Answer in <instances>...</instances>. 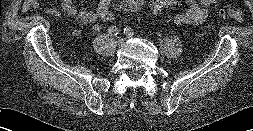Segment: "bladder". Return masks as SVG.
Segmentation results:
<instances>
[{"mask_svg": "<svg viewBox=\"0 0 253 131\" xmlns=\"http://www.w3.org/2000/svg\"><path fill=\"white\" fill-rule=\"evenodd\" d=\"M130 2H125L123 9H129Z\"/></svg>", "mask_w": 253, "mask_h": 131, "instance_id": "bladder-1", "label": "bladder"}]
</instances>
